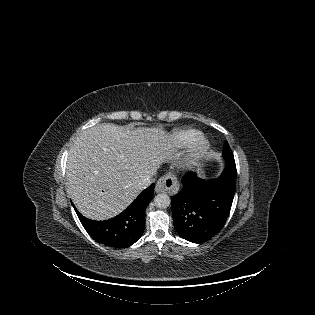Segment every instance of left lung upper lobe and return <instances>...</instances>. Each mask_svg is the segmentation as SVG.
<instances>
[{"label": "left lung upper lobe", "mask_w": 315, "mask_h": 315, "mask_svg": "<svg viewBox=\"0 0 315 315\" xmlns=\"http://www.w3.org/2000/svg\"><path fill=\"white\" fill-rule=\"evenodd\" d=\"M222 153L227 165H235L234 156L227 141L225 142Z\"/></svg>", "instance_id": "5c2ea615"}]
</instances>
